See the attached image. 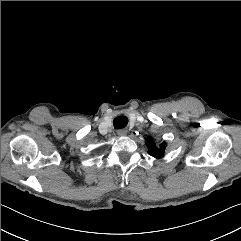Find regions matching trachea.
Listing matches in <instances>:
<instances>
[{
    "label": "trachea",
    "instance_id": "3493384b",
    "mask_svg": "<svg viewBox=\"0 0 241 241\" xmlns=\"http://www.w3.org/2000/svg\"><path fill=\"white\" fill-rule=\"evenodd\" d=\"M128 124V118L126 116H118L113 120V125L116 129L124 128Z\"/></svg>",
    "mask_w": 241,
    "mask_h": 241
}]
</instances>
